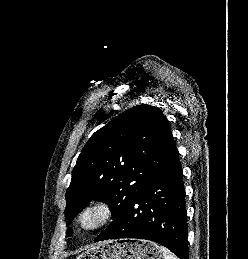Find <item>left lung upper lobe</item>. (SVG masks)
Masks as SVG:
<instances>
[{"instance_id": "1", "label": "left lung upper lobe", "mask_w": 248, "mask_h": 259, "mask_svg": "<svg viewBox=\"0 0 248 259\" xmlns=\"http://www.w3.org/2000/svg\"><path fill=\"white\" fill-rule=\"evenodd\" d=\"M177 153L159 108L137 105L121 113L91 136L77 159L66 192L67 226L92 199L109 204L113 224Z\"/></svg>"}]
</instances>
